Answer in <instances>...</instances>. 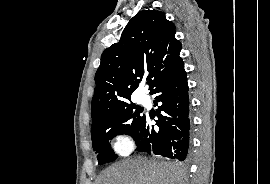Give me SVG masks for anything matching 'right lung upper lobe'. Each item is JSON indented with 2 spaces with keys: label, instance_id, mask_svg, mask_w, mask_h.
Instances as JSON below:
<instances>
[{
  "label": "right lung upper lobe",
  "instance_id": "1",
  "mask_svg": "<svg viewBox=\"0 0 270 184\" xmlns=\"http://www.w3.org/2000/svg\"><path fill=\"white\" fill-rule=\"evenodd\" d=\"M175 27L156 10L139 11L126 25L120 41L107 48L95 74L92 124L131 101L139 78L147 76L149 90L182 59Z\"/></svg>",
  "mask_w": 270,
  "mask_h": 184
}]
</instances>
